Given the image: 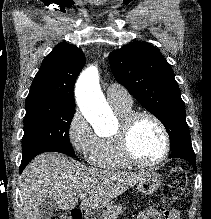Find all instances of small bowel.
I'll use <instances>...</instances> for the list:
<instances>
[{"label":"small bowel","instance_id":"small-bowel-1","mask_svg":"<svg viewBox=\"0 0 211 219\" xmlns=\"http://www.w3.org/2000/svg\"><path fill=\"white\" fill-rule=\"evenodd\" d=\"M137 219H179V213L174 209L161 211L155 206H149L139 213Z\"/></svg>","mask_w":211,"mask_h":219}]
</instances>
